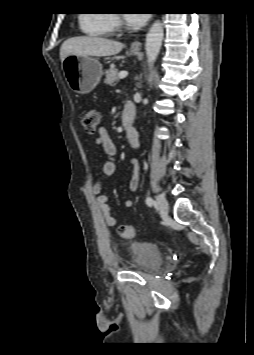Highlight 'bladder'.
I'll return each instance as SVG.
<instances>
[{
    "mask_svg": "<svg viewBox=\"0 0 254 355\" xmlns=\"http://www.w3.org/2000/svg\"><path fill=\"white\" fill-rule=\"evenodd\" d=\"M130 269L145 273L156 272L163 263L159 248L150 242L134 241L130 244Z\"/></svg>",
    "mask_w": 254,
    "mask_h": 355,
    "instance_id": "1",
    "label": "bladder"
}]
</instances>
